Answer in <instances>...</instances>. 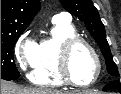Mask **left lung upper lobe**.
<instances>
[{"instance_id": "obj_1", "label": "left lung upper lobe", "mask_w": 121, "mask_h": 94, "mask_svg": "<svg viewBox=\"0 0 121 94\" xmlns=\"http://www.w3.org/2000/svg\"><path fill=\"white\" fill-rule=\"evenodd\" d=\"M62 6L71 14L83 21L87 30L98 43L102 54L105 57L107 71L109 74L119 76L116 64L106 40V32L100 20L99 13L91 0H60Z\"/></svg>"}]
</instances>
